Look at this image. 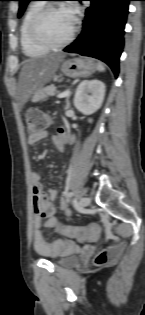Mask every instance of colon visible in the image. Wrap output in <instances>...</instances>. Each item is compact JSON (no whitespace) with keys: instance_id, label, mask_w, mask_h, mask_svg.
Returning <instances> with one entry per match:
<instances>
[{"instance_id":"colon-1","label":"colon","mask_w":145,"mask_h":315,"mask_svg":"<svg viewBox=\"0 0 145 315\" xmlns=\"http://www.w3.org/2000/svg\"><path fill=\"white\" fill-rule=\"evenodd\" d=\"M26 131L29 135L35 134L39 131L44 130L49 125V117L37 110L28 109L24 113ZM61 234L77 239V240H88L96 238L99 234V227L96 224H91L87 227H72L62 226L57 228ZM121 252V246L115 245L99 252L95 258L97 264H107L115 261Z\"/></svg>"}]
</instances>
